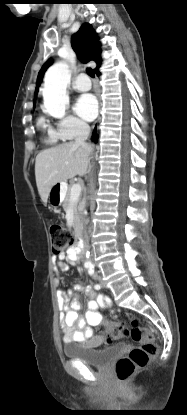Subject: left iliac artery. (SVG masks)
Listing matches in <instances>:
<instances>
[{"instance_id":"left-iliac-artery-1","label":"left iliac artery","mask_w":187,"mask_h":415,"mask_svg":"<svg viewBox=\"0 0 187 415\" xmlns=\"http://www.w3.org/2000/svg\"><path fill=\"white\" fill-rule=\"evenodd\" d=\"M88 268V273L90 274V275H92V276H96V273L94 272V266L93 265H90L89 267H87ZM95 289H100V285H98V284H96L95 285Z\"/></svg>"}]
</instances>
